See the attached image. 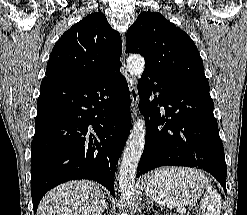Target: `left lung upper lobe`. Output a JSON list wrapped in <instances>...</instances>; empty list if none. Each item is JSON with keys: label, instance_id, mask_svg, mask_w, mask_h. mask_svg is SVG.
I'll list each match as a JSON object with an SVG mask.
<instances>
[{"label": "left lung upper lobe", "instance_id": "1", "mask_svg": "<svg viewBox=\"0 0 247 215\" xmlns=\"http://www.w3.org/2000/svg\"><path fill=\"white\" fill-rule=\"evenodd\" d=\"M127 51L145 58V70L209 91L192 39L157 12H142L126 34Z\"/></svg>", "mask_w": 247, "mask_h": 215}]
</instances>
